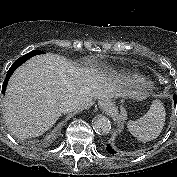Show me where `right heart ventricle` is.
Here are the masks:
<instances>
[{
    "label": "right heart ventricle",
    "instance_id": "e07e8e85",
    "mask_svg": "<svg viewBox=\"0 0 177 177\" xmlns=\"http://www.w3.org/2000/svg\"><path fill=\"white\" fill-rule=\"evenodd\" d=\"M142 83H143L145 86H150V83H148V82H146V81H144V80H142Z\"/></svg>",
    "mask_w": 177,
    "mask_h": 177
}]
</instances>
